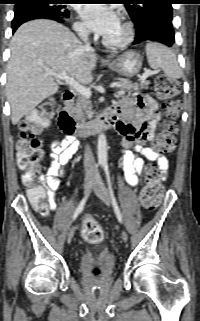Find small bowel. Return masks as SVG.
Wrapping results in <instances>:
<instances>
[{
	"instance_id": "obj_1",
	"label": "small bowel",
	"mask_w": 200,
	"mask_h": 321,
	"mask_svg": "<svg viewBox=\"0 0 200 321\" xmlns=\"http://www.w3.org/2000/svg\"><path fill=\"white\" fill-rule=\"evenodd\" d=\"M111 110L118 113L116 129L123 137V170L127 182L134 187L138 185L139 177L144 171V159L156 162L165 178L169 167L168 159L148 146L161 119L157 102L142 93H135L132 97L120 94ZM78 148L79 143L72 135H67L62 140L57 139L51 145V165L40 177L44 186L43 196L47 198L50 210H55L57 206L56 194L61 188L59 177L67 176V166Z\"/></svg>"
}]
</instances>
